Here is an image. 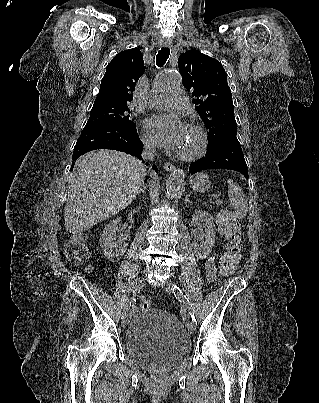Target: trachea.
Returning <instances> with one entry per match:
<instances>
[{"label": "trachea", "mask_w": 319, "mask_h": 403, "mask_svg": "<svg viewBox=\"0 0 319 403\" xmlns=\"http://www.w3.org/2000/svg\"><path fill=\"white\" fill-rule=\"evenodd\" d=\"M169 54H170L169 48H166V47L161 48V50L158 52L157 58H156L157 66L162 67L166 63V61L169 57Z\"/></svg>", "instance_id": "obj_1"}]
</instances>
